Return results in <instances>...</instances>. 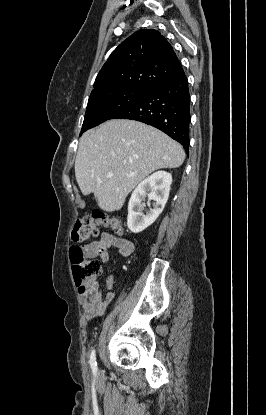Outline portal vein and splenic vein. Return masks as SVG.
Listing matches in <instances>:
<instances>
[{
	"label": "portal vein and splenic vein",
	"mask_w": 266,
	"mask_h": 415,
	"mask_svg": "<svg viewBox=\"0 0 266 415\" xmlns=\"http://www.w3.org/2000/svg\"><path fill=\"white\" fill-rule=\"evenodd\" d=\"M107 176H108L109 178H112V177H113V173H112V172H109V173L107 174ZM130 176H132V175H129L128 177H130Z\"/></svg>",
	"instance_id": "1"
}]
</instances>
